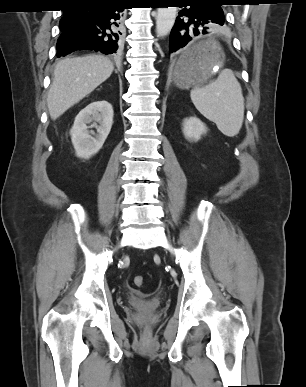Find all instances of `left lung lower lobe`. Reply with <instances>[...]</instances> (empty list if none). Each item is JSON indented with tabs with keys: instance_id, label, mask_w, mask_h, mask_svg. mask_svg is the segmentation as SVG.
<instances>
[{
	"instance_id": "1",
	"label": "left lung lower lobe",
	"mask_w": 306,
	"mask_h": 387,
	"mask_svg": "<svg viewBox=\"0 0 306 387\" xmlns=\"http://www.w3.org/2000/svg\"><path fill=\"white\" fill-rule=\"evenodd\" d=\"M172 3L183 4L169 39V50L175 52L184 48L194 36L209 33L208 26L224 25L222 3L213 0H178ZM182 7V6H181ZM191 55L182 58L187 63Z\"/></svg>"
}]
</instances>
